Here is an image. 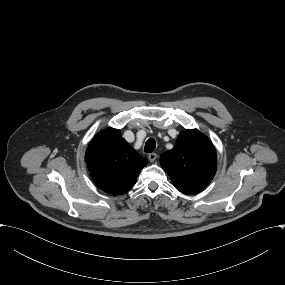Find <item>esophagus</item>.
I'll return each mask as SVG.
<instances>
[{
    "label": "esophagus",
    "instance_id": "esophagus-1",
    "mask_svg": "<svg viewBox=\"0 0 285 285\" xmlns=\"http://www.w3.org/2000/svg\"><path fill=\"white\" fill-rule=\"evenodd\" d=\"M156 157H157V154H156V153H150V154L148 155V158H149L150 162H154V160L156 159Z\"/></svg>",
    "mask_w": 285,
    "mask_h": 285
}]
</instances>
